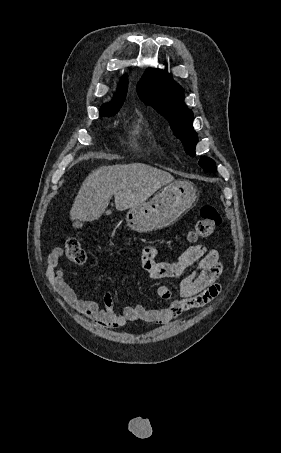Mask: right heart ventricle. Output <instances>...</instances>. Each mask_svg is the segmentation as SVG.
<instances>
[{
  "label": "right heart ventricle",
  "mask_w": 281,
  "mask_h": 453,
  "mask_svg": "<svg viewBox=\"0 0 281 453\" xmlns=\"http://www.w3.org/2000/svg\"><path fill=\"white\" fill-rule=\"evenodd\" d=\"M137 129H138V131H140V129H141V122L140 121L137 122Z\"/></svg>",
  "instance_id": "right-heart-ventricle-1"
}]
</instances>
